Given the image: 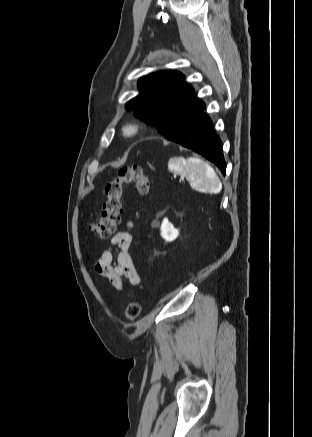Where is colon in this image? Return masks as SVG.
Wrapping results in <instances>:
<instances>
[{
  "mask_svg": "<svg viewBox=\"0 0 312 437\" xmlns=\"http://www.w3.org/2000/svg\"><path fill=\"white\" fill-rule=\"evenodd\" d=\"M133 185L142 197L150 191V180L144 169L139 165L122 167L117 176L106 181L104 185V203L98 221L89 225L90 230L102 238L111 237L117 229L122 213V195L124 185ZM141 313V304L131 301L125 309L128 321H135Z\"/></svg>",
  "mask_w": 312,
  "mask_h": 437,
  "instance_id": "1",
  "label": "colon"
}]
</instances>
